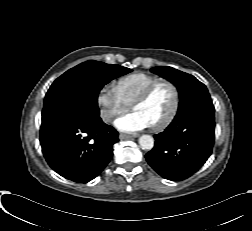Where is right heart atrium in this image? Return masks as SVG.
Returning a JSON list of instances; mask_svg holds the SVG:
<instances>
[{
  "mask_svg": "<svg viewBox=\"0 0 252 231\" xmlns=\"http://www.w3.org/2000/svg\"><path fill=\"white\" fill-rule=\"evenodd\" d=\"M97 103L100 109V117L106 123L111 122L116 116L123 114L130 108L113 84L104 85L98 95Z\"/></svg>",
  "mask_w": 252,
  "mask_h": 231,
  "instance_id": "right-heart-atrium-1",
  "label": "right heart atrium"
}]
</instances>
